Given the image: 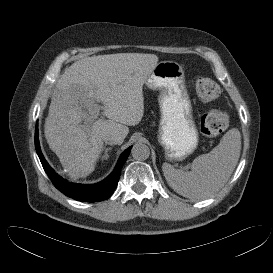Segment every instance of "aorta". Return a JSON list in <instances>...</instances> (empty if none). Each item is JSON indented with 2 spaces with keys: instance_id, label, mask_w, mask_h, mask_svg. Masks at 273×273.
Wrapping results in <instances>:
<instances>
[{
  "instance_id": "obj_1",
  "label": "aorta",
  "mask_w": 273,
  "mask_h": 273,
  "mask_svg": "<svg viewBox=\"0 0 273 273\" xmlns=\"http://www.w3.org/2000/svg\"><path fill=\"white\" fill-rule=\"evenodd\" d=\"M131 154L136 160H146L150 156V149L146 144L136 143L132 147Z\"/></svg>"
}]
</instances>
